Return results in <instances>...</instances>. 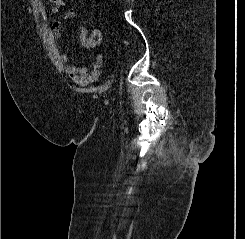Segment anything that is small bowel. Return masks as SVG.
<instances>
[{
    "instance_id": "1",
    "label": "small bowel",
    "mask_w": 245,
    "mask_h": 239,
    "mask_svg": "<svg viewBox=\"0 0 245 239\" xmlns=\"http://www.w3.org/2000/svg\"><path fill=\"white\" fill-rule=\"evenodd\" d=\"M51 3L53 4V13H58L65 6V2L63 0H54V2ZM76 17L77 11L75 9H69L64 15L65 19H73ZM61 26L62 21L59 19L52 23L51 31L56 37L60 36ZM92 37L95 39V41H98L100 39V34L98 32H94ZM81 46L86 50H91L90 43L87 39V34L84 31L81 33ZM61 61L65 65L67 75L80 86H86L94 83L102 74L103 57L100 54L96 55L95 62L90 70L73 65L70 62V56L68 54H62Z\"/></svg>"
}]
</instances>
